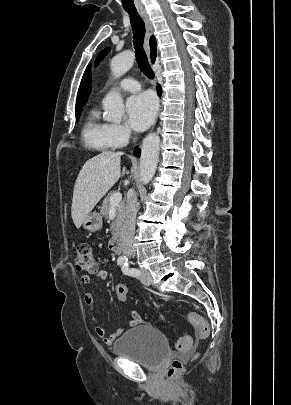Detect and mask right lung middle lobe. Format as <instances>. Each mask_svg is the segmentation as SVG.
<instances>
[{
  "label": "right lung middle lobe",
  "instance_id": "dd1d6c3e",
  "mask_svg": "<svg viewBox=\"0 0 291 405\" xmlns=\"http://www.w3.org/2000/svg\"><path fill=\"white\" fill-rule=\"evenodd\" d=\"M81 110H82V108H77V109H76V120H77V121L79 120V116H80Z\"/></svg>",
  "mask_w": 291,
  "mask_h": 405
}]
</instances>
